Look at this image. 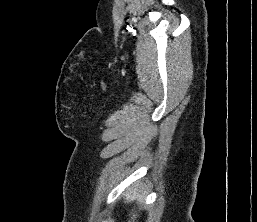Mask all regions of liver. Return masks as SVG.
<instances>
[{
	"mask_svg": "<svg viewBox=\"0 0 257 222\" xmlns=\"http://www.w3.org/2000/svg\"><path fill=\"white\" fill-rule=\"evenodd\" d=\"M137 197L136 193H134L133 195L127 194L126 195V199H130L131 201L135 200V198ZM133 217L135 218L136 215H133ZM130 222V221H129ZM134 222V221H133Z\"/></svg>",
	"mask_w": 257,
	"mask_h": 222,
	"instance_id": "6515ba94",
	"label": "liver"
}]
</instances>
